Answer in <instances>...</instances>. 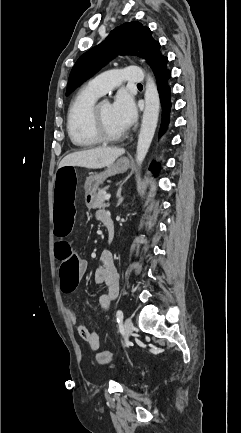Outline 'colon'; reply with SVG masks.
I'll use <instances>...</instances> for the list:
<instances>
[{
	"label": "colon",
	"instance_id": "5ec220e1",
	"mask_svg": "<svg viewBox=\"0 0 241 433\" xmlns=\"http://www.w3.org/2000/svg\"><path fill=\"white\" fill-rule=\"evenodd\" d=\"M76 169L74 164H61L57 166L55 174L56 181L52 187L55 192L53 196L52 220L55 232L63 238L69 235L73 224V216L76 214L74 206L76 182ZM56 255L61 262L58 270L59 277H64L61 285L63 292H72L77 285L80 262L78 256L72 251L67 239H58L55 246ZM97 361L102 365H107L112 361L113 355L108 351L97 354Z\"/></svg>",
	"mask_w": 241,
	"mask_h": 433
}]
</instances>
